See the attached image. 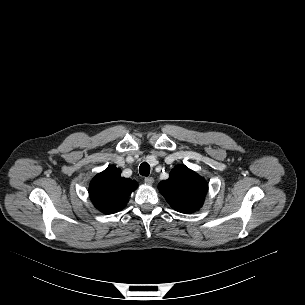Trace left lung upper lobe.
Masks as SVG:
<instances>
[{
	"mask_svg": "<svg viewBox=\"0 0 305 305\" xmlns=\"http://www.w3.org/2000/svg\"><path fill=\"white\" fill-rule=\"evenodd\" d=\"M158 189L175 210L192 213L203 205L208 185L196 172L178 165L171 170L167 180L159 183Z\"/></svg>",
	"mask_w": 305,
	"mask_h": 305,
	"instance_id": "5c2ea615",
	"label": "left lung upper lobe"
}]
</instances>
